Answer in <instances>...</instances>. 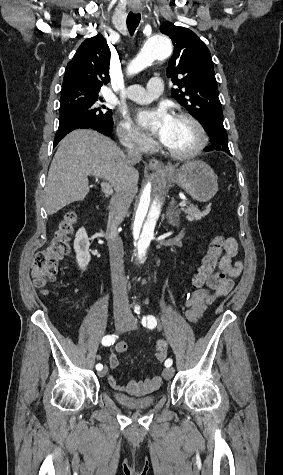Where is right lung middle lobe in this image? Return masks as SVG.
I'll use <instances>...</instances> for the list:
<instances>
[{
    "mask_svg": "<svg viewBox=\"0 0 283 475\" xmlns=\"http://www.w3.org/2000/svg\"><path fill=\"white\" fill-rule=\"evenodd\" d=\"M98 94L66 93L61 94L59 118L84 116L94 122L113 125L112 110L104 105Z\"/></svg>",
    "mask_w": 283,
    "mask_h": 475,
    "instance_id": "dd1d6c3e",
    "label": "right lung middle lobe"
}]
</instances>
